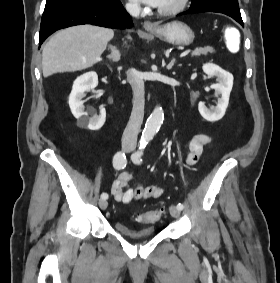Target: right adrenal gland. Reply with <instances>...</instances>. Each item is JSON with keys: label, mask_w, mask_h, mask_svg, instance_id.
Wrapping results in <instances>:
<instances>
[{"label": "right adrenal gland", "mask_w": 280, "mask_h": 283, "mask_svg": "<svg viewBox=\"0 0 280 283\" xmlns=\"http://www.w3.org/2000/svg\"><path fill=\"white\" fill-rule=\"evenodd\" d=\"M108 49L111 51V54L107 56V58L112 62H118L120 60V52L117 47L113 45H109Z\"/></svg>", "instance_id": "obj_1"}]
</instances>
